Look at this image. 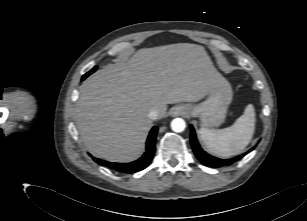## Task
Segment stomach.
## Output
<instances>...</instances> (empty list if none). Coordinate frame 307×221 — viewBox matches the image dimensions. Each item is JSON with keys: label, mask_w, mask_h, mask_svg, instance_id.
Segmentation results:
<instances>
[{"label": "stomach", "mask_w": 307, "mask_h": 221, "mask_svg": "<svg viewBox=\"0 0 307 221\" xmlns=\"http://www.w3.org/2000/svg\"><path fill=\"white\" fill-rule=\"evenodd\" d=\"M232 97V87L226 79H223L204 101L185 106L191 116L200 119L202 127H215L224 122Z\"/></svg>", "instance_id": "obj_1"}]
</instances>
